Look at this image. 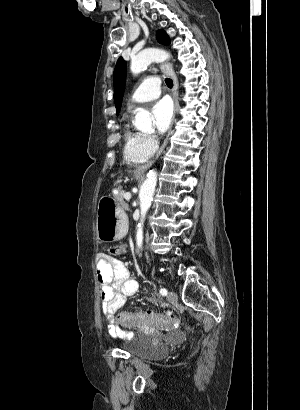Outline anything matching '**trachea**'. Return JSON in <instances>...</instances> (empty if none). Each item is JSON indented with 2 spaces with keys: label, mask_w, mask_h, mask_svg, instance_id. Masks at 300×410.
<instances>
[{
  "label": "trachea",
  "mask_w": 300,
  "mask_h": 410,
  "mask_svg": "<svg viewBox=\"0 0 300 410\" xmlns=\"http://www.w3.org/2000/svg\"><path fill=\"white\" fill-rule=\"evenodd\" d=\"M165 83L169 88L173 87V81L170 78H166Z\"/></svg>",
  "instance_id": "3493384b"
}]
</instances>
